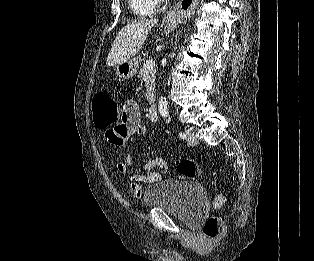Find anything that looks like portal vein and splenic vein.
I'll return each mask as SVG.
<instances>
[{
  "label": "portal vein and splenic vein",
  "instance_id": "portal-vein-and-splenic-vein-1",
  "mask_svg": "<svg viewBox=\"0 0 314 261\" xmlns=\"http://www.w3.org/2000/svg\"><path fill=\"white\" fill-rule=\"evenodd\" d=\"M145 68L148 69V70H153L154 67H155V61L153 59H150L148 60L146 63H145Z\"/></svg>",
  "mask_w": 314,
  "mask_h": 261
}]
</instances>
